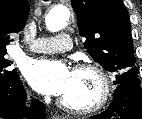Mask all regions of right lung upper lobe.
I'll list each match as a JSON object with an SVG mask.
<instances>
[{
    "label": "right lung upper lobe",
    "mask_w": 142,
    "mask_h": 119,
    "mask_svg": "<svg viewBox=\"0 0 142 119\" xmlns=\"http://www.w3.org/2000/svg\"><path fill=\"white\" fill-rule=\"evenodd\" d=\"M28 14V0H0V51L13 41L9 34L23 30Z\"/></svg>",
    "instance_id": "right-lung-upper-lobe-1"
}]
</instances>
